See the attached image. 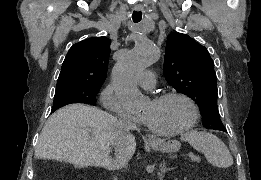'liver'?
Masks as SVG:
<instances>
[{
  "label": "liver",
  "instance_id": "6515ba94",
  "mask_svg": "<svg viewBox=\"0 0 261 180\" xmlns=\"http://www.w3.org/2000/svg\"><path fill=\"white\" fill-rule=\"evenodd\" d=\"M112 114L83 104H70L50 116L38 140L37 160H57L77 168L113 170L111 154L125 150L133 156L135 136Z\"/></svg>",
  "mask_w": 261,
  "mask_h": 180
}]
</instances>
